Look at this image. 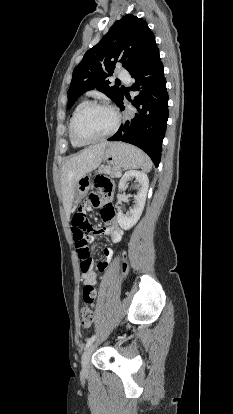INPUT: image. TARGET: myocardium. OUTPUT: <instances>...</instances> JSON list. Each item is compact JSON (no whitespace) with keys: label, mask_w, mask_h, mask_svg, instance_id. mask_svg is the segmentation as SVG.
Returning <instances> with one entry per match:
<instances>
[{"label":"myocardium","mask_w":233,"mask_h":414,"mask_svg":"<svg viewBox=\"0 0 233 414\" xmlns=\"http://www.w3.org/2000/svg\"><path fill=\"white\" fill-rule=\"evenodd\" d=\"M91 108H103V109L109 110L114 116V124L112 128L110 129V131H108L102 136H99L93 139H81L76 135V131H75L76 123L78 119L80 118V116L85 111ZM120 124H121V115L117 111L116 108L103 102L91 101V102H87L86 104H84L74 115L72 122H71V126H70V136H71V139L77 144H80V145L92 144V143L100 142V141H103V140H106L112 137L118 131Z\"/></svg>","instance_id":"f54148a6"}]
</instances>
